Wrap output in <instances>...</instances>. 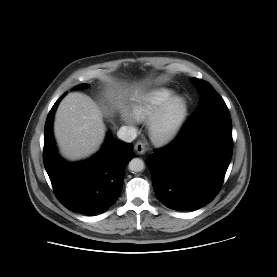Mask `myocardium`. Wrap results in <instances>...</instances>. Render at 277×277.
I'll list each match as a JSON object with an SVG mask.
<instances>
[{
	"instance_id": "obj_1",
	"label": "myocardium",
	"mask_w": 277,
	"mask_h": 277,
	"mask_svg": "<svg viewBox=\"0 0 277 277\" xmlns=\"http://www.w3.org/2000/svg\"><path fill=\"white\" fill-rule=\"evenodd\" d=\"M176 104L180 105V113L175 122L169 128H162V123L169 110ZM189 112V103L185 96L174 95L167 100L149 119L148 133L151 140L158 144L164 145L171 142L182 130Z\"/></svg>"
}]
</instances>
